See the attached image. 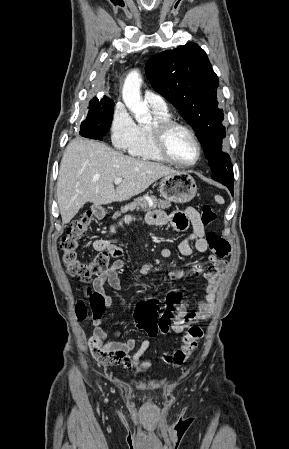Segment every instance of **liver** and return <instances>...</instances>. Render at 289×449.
Wrapping results in <instances>:
<instances>
[{
  "instance_id": "obj_1",
  "label": "liver",
  "mask_w": 289,
  "mask_h": 449,
  "mask_svg": "<svg viewBox=\"0 0 289 449\" xmlns=\"http://www.w3.org/2000/svg\"><path fill=\"white\" fill-rule=\"evenodd\" d=\"M174 173V169L123 155L103 143L72 140L63 154L57 181L62 222L69 223L87 202L102 205L126 201ZM116 178L123 181L115 189Z\"/></svg>"
}]
</instances>
